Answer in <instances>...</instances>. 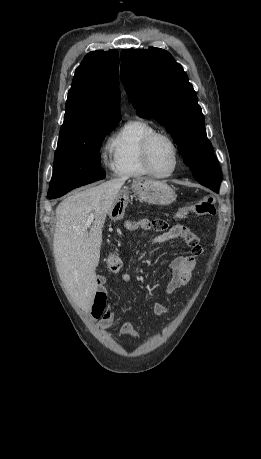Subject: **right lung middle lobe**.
Returning <instances> with one entry per match:
<instances>
[{
    "instance_id": "1",
    "label": "right lung middle lobe",
    "mask_w": 261,
    "mask_h": 459,
    "mask_svg": "<svg viewBox=\"0 0 261 459\" xmlns=\"http://www.w3.org/2000/svg\"><path fill=\"white\" fill-rule=\"evenodd\" d=\"M117 124L97 125L58 141L48 199L105 178L99 150L106 133Z\"/></svg>"
}]
</instances>
